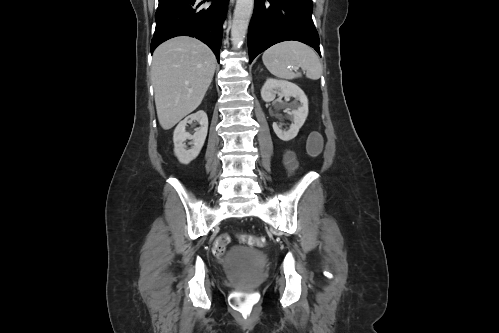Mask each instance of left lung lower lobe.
I'll return each mask as SVG.
<instances>
[{
  "instance_id": "left-lung-lower-lobe-1",
  "label": "left lung lower lobe",
  "mask_w": 499,
  "mask_h": 333,
  "mask_svg": "<svg viewBox=\"0 0 499 333\" xmlns=\"http://www.w3.org/2000/svg\"><path fill=\"white\" fill-rule=\"evenodd\" d=\"M312 10V0H255L248 30L249 62L270 46L288 40L303 42L320 55Z\"/></svg>"
}]
</instances>
